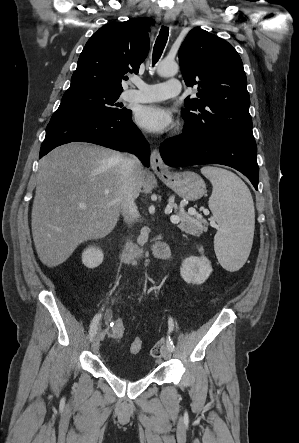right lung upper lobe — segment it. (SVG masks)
<instances>
[{
    "instance_id": "right-lung-upper-lobe-1",
    "label": "right lung upper lobe",
    "mask_w": 299,
    "mask_h": 443,
    "mask_svg": "<svg viewBox=\"0 0 299 443\" xmlns=\"http://www.w3.org/2000/svg\"><path fill=\"white\" fill-rule=\"evenodd\" d=\"M149 45L144 21L140 18L106 24L83 48L70 88L93 87L122 92L124 75L138 73Z\"/></svg>"
}]
</instances>
